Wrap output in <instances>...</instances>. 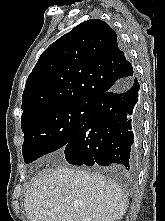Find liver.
Segmentation results:
<instances>
[{
  "mask_svg": "<svg viewBox=\"0 0 165 221\" xmlns=\"http://www.w3.org/2000/svg\"><path fill=\"white\" fill-rule=\"evenodd\" d=\"M128 204L110 179L63 166L40 172L24 199L30 221H117Z\"/></svg>",
  "mask_w": 165,
  "mask_h": 221,
  "instance_id": "obj_1",
  "label": "liver"
}]
</instances>
